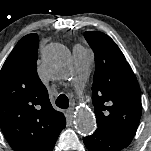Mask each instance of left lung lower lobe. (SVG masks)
Segmentation results:
<instances>
[{
    "mask_svg": "<svg viewBox=\"0 0 151 151\" xmlns=\"http://www.w3.org/2000/svg\"><path fill=\"white\" fill-rule=\"evenodd\" d=\"M133 137L106 132L97 129L93 135L83 139L84 144L89 151H120L130 144Z\"/></svg>",
    "mask_w": 151,
    "mask_h": 151,
    "instance_id": "obj_1",
    "label": "left lung lower lobe"
}]
</instances>
